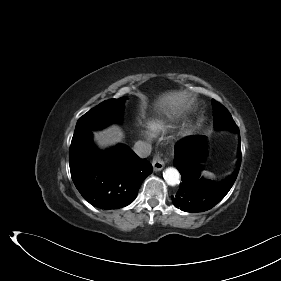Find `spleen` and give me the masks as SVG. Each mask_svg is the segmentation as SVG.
Segmentation results:
<instances>
[{
	"label": "spleen",
	"instance_id": "3e777b00",
	"mask_svg": "<svg viewBox=\"0 0 281 281\" xmlns=\"http://www.w3.org/2000/svg\"><path fill=\"white\" fill-rule=\"evenodd\" d=\"M201 175L206 177V178H209V179L215 178V175L212 172H209V171H206V170L202 171Z\"/></svg>",
	"mask_w": 281,
	"mask_h": 281
}]
</instances>
